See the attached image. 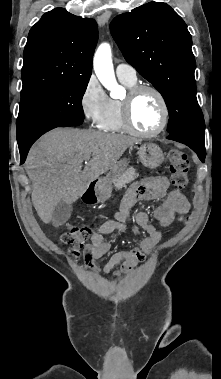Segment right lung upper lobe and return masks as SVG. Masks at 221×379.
I'll return each instance as SVG.
<instances>
[{
	"label": "right lung upper lobe",
	"mask_w": 221,
	"mask_h": 379,
	"mask_svg": "<svg viewBox=\"0 0 221 379\" xmlns=\"http://www.w3.org/2000/svg\"><path fill=\"white\" fill-rule=\"evenodd\" d=\"M97 23L64 8L45 13L31 28L23 53L22 91L90 78Z\"/></svg>",
	"instance_id": "cb5924a9"
}]
</instances>
